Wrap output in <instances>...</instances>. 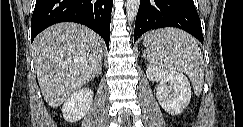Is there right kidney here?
Masks as SVG:
<instances>
[{
  "label": "right kidney",
  "mask_w": 243,
  "mask_h": 127,
  "mask_svg": "<svg viewBox=\"0 0 243 127\" xmlns=\"http://www.w3.org/2000/svg\"><path fill=\"white\" fill-rule=\"evenodd\" d=\"M93 95V91L89 88H82L74 92L63 104V118L68 122L82 119L90 110Z\"/></svg>",
  "instance_id": "1"
}]
</instances>
